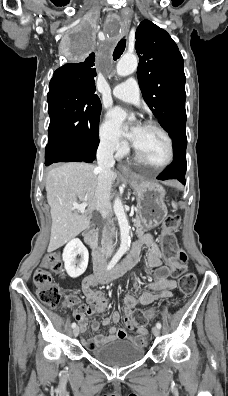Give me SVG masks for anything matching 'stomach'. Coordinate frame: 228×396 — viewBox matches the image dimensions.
I'll return each instance as SVG.
<instances>
[{"label": "stomach", "mask_w": 228, "mask_h": 396, "mask_svg": "<svg viewBox=\"0 0 228 396\" xmlns=\"http://www.w3.org/2000/svg\"><path fill=\"white\" fill-rule=\"evenodd\" d=\"M137 198V216L146 229L159 225L167 215L164 203L165 190L156 182L142 180L138 176H127Z\"/></svg>", "instance_id": "stomach-1"}]
</instances>
